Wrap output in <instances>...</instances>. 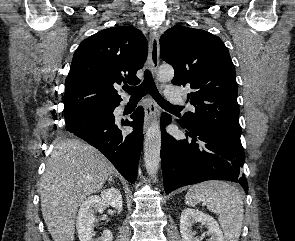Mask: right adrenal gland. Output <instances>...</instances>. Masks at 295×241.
Segmentation results:
<instances>
[{
  "label": "right adrenal gland",
  "mask_w": 295,
  "mask_h": 241,
  "mask_svg": "<svg viewBox=\"0 0 295 241\" xmlns=\"http://www.w3.org/2000/svg\"><path fill=\"white\" fill-rule=\"evenodd\" d=\"M108 182H114L112 176H109Z\"/></svg>",
  "instance_id": "2a0ac1e0"
}]
</instances>
